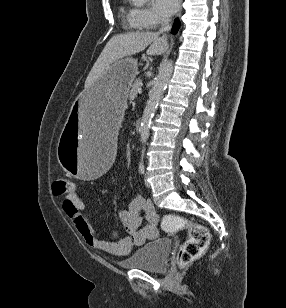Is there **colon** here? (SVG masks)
<instances>
[{"label": "colon", "instance_id": "obj_1", "mask_svg": "<svg viewBox=\"0 0 286 308\" xmlns=\"http://www.w3.org/2000/svg\"><path fill=\"white\" fill-rule=\"evenodd\" d=\"M52 190L55 195H69L74 191V183L66 177H58L53 181ZM189 228V237L182 245L178 254V264L186 266L199 257L210 241L209 232L201 225H191L180 216L166 215L163 220V228L167 231H176Z\"/></svg>", "mask_w": 286, "mask_h": 308}]
</instances>
